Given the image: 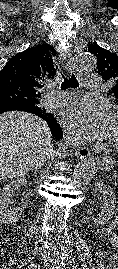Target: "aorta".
Wrapping results in <instances>:
<instances>
[{"label": "aorta", "instance_id": "aorta-1", "mask_svg": "<svg viewBox=\"0 0 118 269\" xmlns=\"http://www.w3.org/2000/svg\"><path fill=\"white\" fill-rule=\"evenodd\" d=\"M96 58L93 54L84 52L78 55L76 67L79 72H88L95 68ZM96 172L94 160L88 159L79 163L73 171L74 180H85L91 178Z\"/></svg>", "mask_w": 118, "mask_h": 269}]
</instances>
